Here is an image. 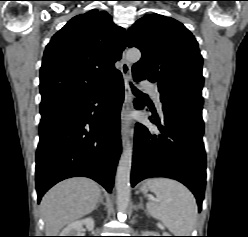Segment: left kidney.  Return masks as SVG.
Segmentation results:
<instances>
[{"instance_id":"1","label":"left kidney","mask_w":248,"mask_h":237,"mask_svg":"<svg viewBox=\"0 0 248 237\" xmlns=\"http://www.w3.org/2000/svg\"><path fill=\"white\" fill-rule=\"evenodd\" d=\"M163 236H170V234H167V232H164Z\"/></svg>"}]
</instances>
